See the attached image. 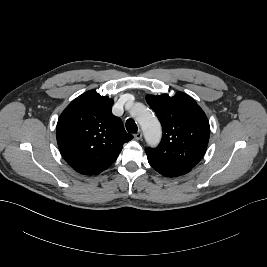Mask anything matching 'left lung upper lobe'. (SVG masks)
Here are the masks:
<instances>
[{
    "instance_id": "5c2ea615",
    "label": "left lung upper lobe",
    "mask_w": 267,
    "mask_h": 267,
    "mask_svg": "<svg viewBox=\"0 0 267 267\" xmlns=\"http://www.w3.org/2000/svg\"><path fill=\"white\" fill-rule=\"evenodd\" d=\"M146 101L163 127L160 144L155 149H145L148 161L191 170L204 156L209 141L210 127L205 113L183 92L172 97L147 95Z\"/></svg>"
}]
</instances>
